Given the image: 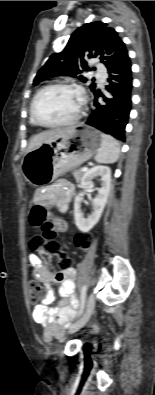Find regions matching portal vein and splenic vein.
<instances>
[{
  "instance_id": "1",
  "label": "portal vein and splenic vein",
  "mask_w": 155,
  "mask_h": 395,
  "mask_svg": "<svg viewBox=\"0 0 155 395\" xmlns=\"http://www.w3.org/2000/svg\"><path fill=\"white\" fill-rule=\"evenodd\" d=\"M87 170H88L87 167H83V168L81 169L82 172H85V171H87Z\"/></svg>"
}]
</instances>
